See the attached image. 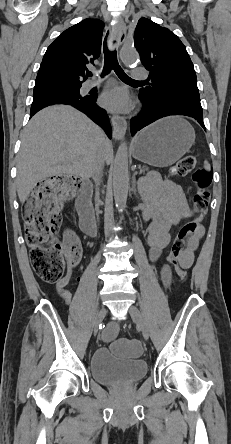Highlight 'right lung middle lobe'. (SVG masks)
<instances>
[{"instance_id":"dd1d6c3e","label":"right lung middle lobe","mask_w":231,"mask_h":444,"mask_svg":"<svg viewBox=\"0 0 231 444\" xmlns=\"http://www.w3.org/2000/svg\"><path fill=\"white\" fill-rule=\"evenodd\" d=\"M81 85H66V84H59L55 85L51 88L46 89L43 92H36L34 91L33 96L44 94V93H64L76 97H82L79 93Z\"/></svg>"}]
</instances>
